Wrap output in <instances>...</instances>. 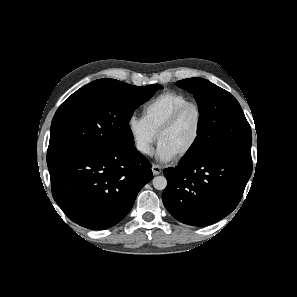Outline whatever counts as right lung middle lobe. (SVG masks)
I'll use <instances>...</instances> for the list:
<instances>
[{
    "mask_svg": "<svg viewBox=\"0 0 297 297\" xmlns=\"http://www.w3.org/2000/svg\"><path fill=\"white\" fill-rule=\"evenodd\" d=\"M162 88L160 84L133 86L103 79L95 86L77 90L53 117L48 167L72 153L133 145L128 123L134 110Z\"/></svg>",
    "mask_w": 297,
    "mask_h": 297,
    "instance_id": "right-lung-middle-lobe-1",
    "label": "right lung middle lobe"
}]
</instances>
